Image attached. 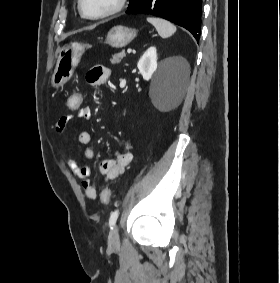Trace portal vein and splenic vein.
<instances>
[{
    "instance_id": "18ae733b",
    "label": "portal vein and splenic vein",
    "mask_w": 280,
    "mask_h": 283,
    "mask_svg": "<svg viewBox=\"0 0 280 283\" xmlns=\"http://www.w3.org/2000/svg\"><path fill=\"white\" fill-rule=\"evenodd\" d=\"M131 52H132V49H131V48H128V49H127V53L130 54Z\"/></svg>"
}]
</instances>
